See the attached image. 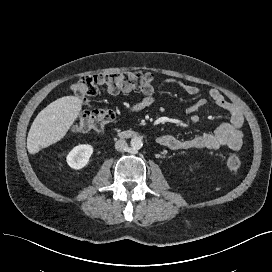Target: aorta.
<instances>
[{
    "label": "aorta",
    "instance_id": "762f6f07",
    "mask_svg": "<svg viewBox=\"0 0 272 272\" xmlns=\"http://www.w3.org/2000/svg\"><path fill=\"white\" fill-rule=\"evenodd\" d=\"M132 149L139 150L143 146V141L141 137H133L130 141Z\"/></svg>",
    "mask_w": 272,
    "mask_h": 272
}]
</instances>
